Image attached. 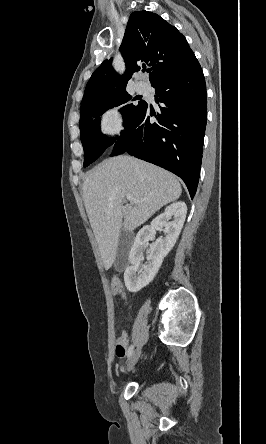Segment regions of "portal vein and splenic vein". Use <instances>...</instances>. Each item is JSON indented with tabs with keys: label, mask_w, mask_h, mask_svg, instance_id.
Masks as SVG:
<instances>
[{
	"label": "portal vein and splenic vein",
	"mask_w": 266,
	"mask_h": 444,
	"mask_svg": "<svg viewBox=\"0 0 266 444\" xmlns=\"http://www.w3.org/2000/svg\"><path fill=\"white\" fill-rule=\"evenodd\" d=\"M126 200L127 201H130V202H134V203H138L139 201H137L136 199H134L132 196H130V195H127L126 196Z\"/></svg>",
	"instance_id": "obj_1"
}]
</instances>
